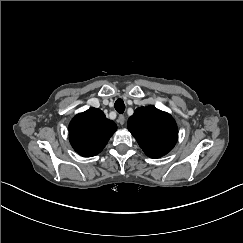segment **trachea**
<instances>
[{
	"label": "trachea",
	"mask_w": 243,
	"mask_h": 243,
	"mask_svg": "<svg viewBox=\"0 0 243 243\" xmlns=\"http://www.w3.org/2000/svg\"><path fill=\"white\" fill-rule=\"evenodd\" d=\"M114 107L118 113L122 114L125 110V103L122 99L119 98L115 101Z\"/></svg>",
	"instance_id": "obj_1"
}]
</instances>
